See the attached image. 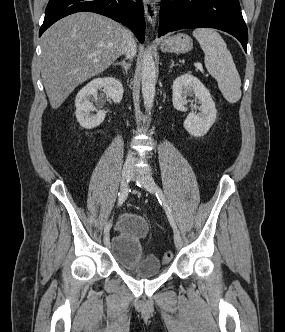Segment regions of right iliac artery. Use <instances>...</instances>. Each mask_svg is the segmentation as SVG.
<instances>
[{
	"label": "right iliac artery",
	"instance_id": "obj_1",
	"mask_svg": "<svg viewBox=\"0 0 285 332\" xmlns=\"http://www.w3.org/2000/svg\"><path fill=\"white\" fill-rule=\"evenodd\" d=\"M128 192H129L128 185L126 187L122 188L121 192L119 193L118 206H121L125 202V200L128 196ZM111 226H112V222L110 221L106 224V226L104 228V233L109 232Z\"/></svg>",
	"mask_w": 285,
	"mask_h": 332
}]
</instances>
